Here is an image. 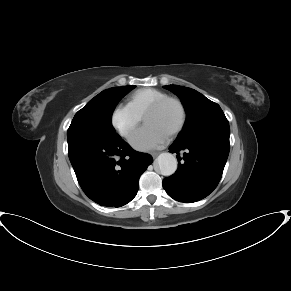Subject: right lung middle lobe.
Returning a JSON list of instances; mask_svg holds the SVG:
<instances>
[{"label": "right lung middle lobe", "mask_w": 291, "mask_h": 291, "mask_svg": "<svg viewBox=\"0 0 291 291\" xmlns=\"http://www.w3.org/2000/svg\"><path fill=\"white\" fill-rule=\"evenodd\" d=\"M134 87H114L99 93L75 114L67 137L89 136L104 140L119 138L111 123L112 113L120 99Z\"/></svg>", "instance_id": "1"}]
</instances>
